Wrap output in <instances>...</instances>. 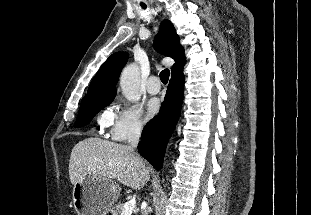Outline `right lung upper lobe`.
I'll use <instances>...</instances> for the list:
<instances>
[{"instance_id": "cb5924a9", "label": "right lung upper lobe", "mask_w": 311, "mask_h": 215, "mask_svg": "<svg viewBox=\"0 0 311 215\" xmlns=\"http://www.w3.org/2000/svg\"><path fill=\"white\" fill-rule=\"evenodd\" d=\"M154 46L155 49L175 60L171 69L172 75L183 70V66L186 62L184 49L180 45L179 36L169 20H163L161 22L159 32L154 41ZM127 60L128 53L126 52L112 54L95 75L82 102L104 96L115 97V85L118 82L120 72Z\"/></svg>"}]
</instances>
